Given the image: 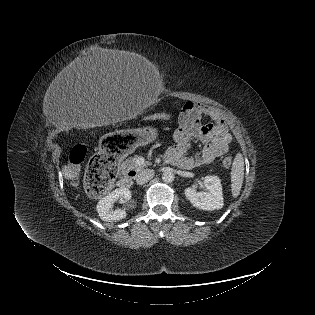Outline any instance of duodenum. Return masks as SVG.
Instances as JSON below:
<instances>
[{"label": "duodenum", "mask_w": 315, "mask_h": 315, "mask_svg": "<svg viewBox=\"0 0 315 315\" xmlns=\"http://www.w3.org/2000/svg\"><path fill=\"white\" fill-rule=\"evenodd\" d=\"M136 175V172L130 168H123V174L118 181V186L122 188H128L131 186L132 179Z\"/></svg>", "instance_id": "obj_1"}]
</instances>
